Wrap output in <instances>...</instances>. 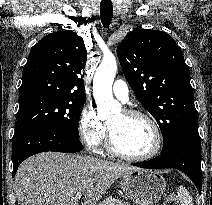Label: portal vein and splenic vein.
I'll return each mask as SVG.
<instances>
[{
	"label": "portal vein and splenic vein",
	"mask_w": 212,
	"mask_h": 205,
	"mask_svg": "<svg viewBox=\"0 0 212 205\" xmlns=\"http://www.w3.org/2000/svg\"><path fill=\"white\" fill-rule=\"evenodd\" d=\"M82 196V193L81 192H78L75 196L76 200H79Z\"/></svg>",
	"instance_id": "portal-vein-and-splenic-vein-1"
}]
</instances>
